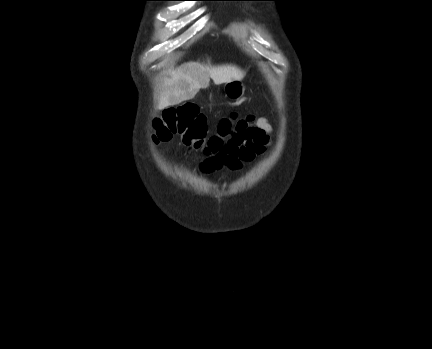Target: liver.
Instances as JSON below:
<instances>
[{
  "mask_svg": "<svg viewBox=\"0 0 432 349\" xmlns=\"http://www.w3.org/2000/svg\"><path fill=\"white\" fill-rule=\"evenodd\" d=\"M245 72L235 65L211 66L199 62H189L169 71L164 79L159 109L193 99L201 88L209 85L210 78L216 85L233 80H241Z\"/></svg>",
  "mask_w": 432,
  "mask_h": 349,
  "instance_id": "6515ba94",
  "label": "liver"
}]
</instances>
